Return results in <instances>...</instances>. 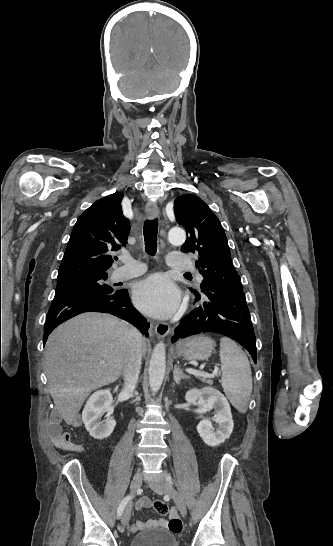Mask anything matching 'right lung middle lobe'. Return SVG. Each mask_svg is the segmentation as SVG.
Segmentation results:
<instances>
[{
    "instance_id": "dd1d6c3e",
    "label": "right lung middle lobe",
    "mask_w": 333,
    "mask_h": 546,
    "mask_svg": "<svg viewBox=\"0 0 333 546\" xmlns=\"http://www.w3.org/2000/svg\"><path fill=\"white\" fill-rule=\"evenodd\" d=\"M107 276V273H103L60 279L57 282L55 296L86 292L98 294H113V289L104 283V281L107 279Z\"/></svg>"
}]
</instances>
